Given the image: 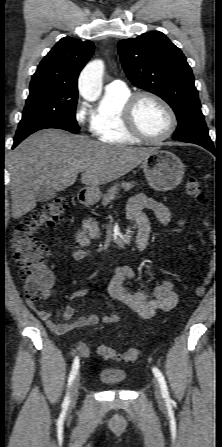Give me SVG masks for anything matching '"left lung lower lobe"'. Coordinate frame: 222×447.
I'll use <instances>...</instances> for the list:
<instances>
[{"label": "left lung lower lobe", "mask_w": 222, "mask_h": 447, "mask_svg": "<svg viewBox=\"0 0 222 447\" xmlns=\"http://www.w3.org/2000/svg\"><path fill=\"white\" fill-rule=\"evenodd\" d=\"M198 145L203 146L204 148L208 149L209 151H211L212 153L215 154V149H214L213 143L212 144L200 143Z\"/></svg>", "instance_id": "obj_1"}]
</instances>
